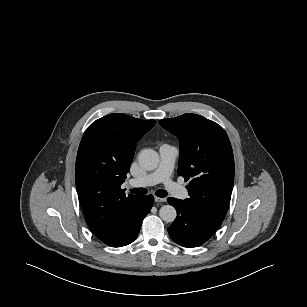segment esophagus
Instances as JSON below:
<instances>
[{"label":"esophagus","instance_id":"1","mask_svg":"<svg viewBox=\"0 0 307 307\" xmlns=\"http://www.w3.org/2000/svg\"><path fill=\"white\" fill-rule=\"evenodd\" d=\"M154 200H155V202H165L166 198H161V197L155 196Z\"/></svg>","mask_w":307,"mask_h":307}]
</instances>
